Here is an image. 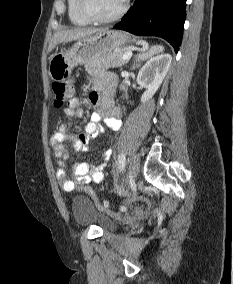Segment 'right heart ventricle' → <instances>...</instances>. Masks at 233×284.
<instances>
[{
  "mask_svg": "<svg viewBox=\"0 0 233 284\" xmlns=\"http://www.w3.org/2000/svg\"><path fill=\"white\" fill-rule=\"evenodd\" d=\"M67 13L70 22L77 26H85L90 23L79 10V0H67Z\"/></svg>",
  "mask_w": 233,
  "mask_h": 284,
  "instance_id": "right-heart-ventricle-1",
  "label": "right heart ventricle"
}]
</instances>
